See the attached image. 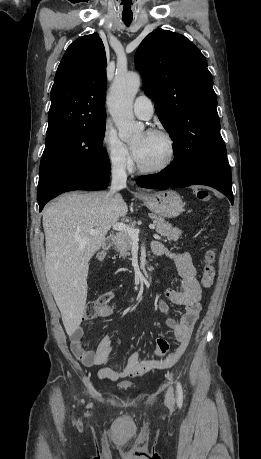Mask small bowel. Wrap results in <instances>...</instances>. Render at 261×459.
Returning a JSON list of instances; mask_svg holds the SVG:
<instances>
[{
  "mask_svg": "<svg viewBox=\"0 0 261 459\" xmlns=\"http://www.w3.org/2000/svg\"><path fill=\"white\" fill-rule=\"evenodd\" d=\"M157 243L161 248L159 255L172 258L183 279L180 289H166L164 293L165 299L159 301V308L167 317V325L172 332L174 340L177 342V346L173 350H170L169 341L164 338H158L156 340V352L151 358L141 359L139 353L135 352L129 357L124 366L114 364L102 367L98 372L100 379L115 381L124 377L142 376L154 368H170L182 358L189 346L192 331L201 310L199 300L202 290L197 279V270L192 263L190 254L186 252L173 253L162 243ZM97 259L103 261L105 253H99ZM110 293L113 298L114 293ZM168 303L184 308V312L178 321L170 316ZM112 313L113 307L108 304L101 309L98 316L108 317ZM67 333L71 342V350L82 364L85 366H103L110 362V354L113 349L110 336H103L96 349L93 350L87 348L84 343V331L80 325L69 327Z\"/></svg>",
  "mask_w": 261,
  "mask_h": 459,
  "instance_id": "obj_1",
  "label": "small bowel"
}]
</instances>
